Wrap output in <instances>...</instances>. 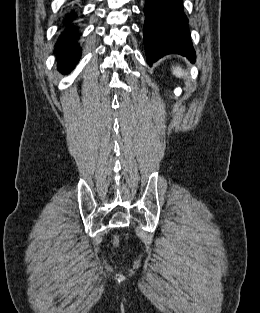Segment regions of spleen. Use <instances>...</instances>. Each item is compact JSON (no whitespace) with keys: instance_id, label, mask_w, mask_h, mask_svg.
<instances>
[{"instance_id":"3e777b00","label":"spleen","mask_w":260,"mask_h":313,"mask_svg":"<svg viewBox=\"0 0 260 313\" xmlns=\"http://www.w3.org/2000/svg\"><path fill=\"white\" fill-rule=\"evenodd\" d=\"M172 73L178 78H182L185 76V73L180 66L172 67Z\"/></svg>"}]
</instances>
